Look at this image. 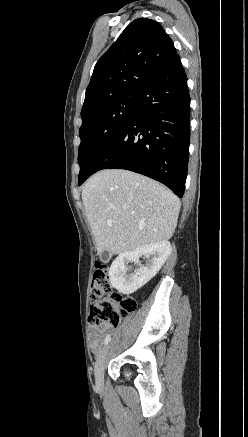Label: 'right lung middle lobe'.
Masks as SVG:
<instances>
[{"label":"right lung middle lobe","mask_w":248,"mask_h":437,"mask_svg":"<svg viewBox=\"0 0 248 437\" xmlns=\"http://www.w3.org/2000/svg\"><path fill=\"white\" fill-rule=\"evenodd\" d=\"M136 97H119L82 119L78 149L79 180L89 172L95 157L126 123L134 109Z\"/></svg>","instance_id":"dd1d6c3e"}]
</instances>
